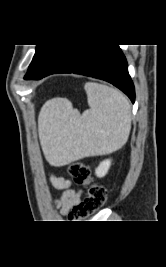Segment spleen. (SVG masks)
I'll return each instance as SVG.
<instances>
[{
    "mask_svg": "<svg viewBox=\"0 0 166 267\" xmlns=\"http://www.w3.org/2000/svg\"><path fill=\"white\" fill-rule=\"evenodd\" d=\"M90 109L82 115L47 104L39 116V137L47 160L66 165L121 148L131 130V107L118 90L95 82L84 86Z\"/></svg>",
    "mask_w": 166,
    "mask_h": 267,
    "instance_id": "3e777b00",
    "label": "spleen"
}]
</instances>
